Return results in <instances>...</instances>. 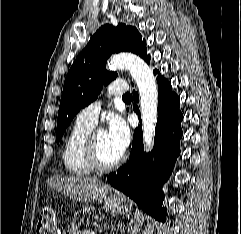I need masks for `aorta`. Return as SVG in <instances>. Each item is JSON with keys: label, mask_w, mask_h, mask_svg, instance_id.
Here are the masks:
<instances>
[{"label": "aorta", "mask_w": 241, "mask_h": 234, "mask_svg": "<svg viewBox=\"0 0 241 234\" xmlns=\"http://www.w3.org/2000/svg\"><path fill=\"white\" fill-rule=\"evenodd\" d=\"M111 70L127 69L137 84L143 130V143L146 151H150L154 141L158 113V92L156 79L150 67L136 55L118 54L108 62Z\"/></svg>", "instance_id": "aorta-1"}]
</instances>
